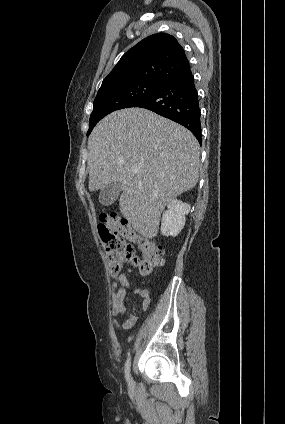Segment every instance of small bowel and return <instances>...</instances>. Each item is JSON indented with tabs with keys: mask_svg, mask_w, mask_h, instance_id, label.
Listing matches in <instances>:
<instances>
[{
	"mask_svg": "<svg viewBox=\"0 0 285 424\" xmlns=\"http://www.w3.org/2000/svg\"><path fill=\"white\" fill-rule=\"evenodd\" d=\"M128 288L129 281L124 273L118 276L112 286V313L113 315H121L125 317V321L121 327L122 330L131 329L136 322V315L126 304ZM135 295L140 298L142 309L147 310L151 304L148 291L144 288H138L135 290ZM114 326L116 329H119V326L116 323H114Z\"/></svg>",
	"mask_w": 285,
	"mask_h": 424,
	"instance_id": "obj_1",
	"label": "small bowel"
}]
</instances>
